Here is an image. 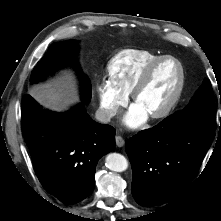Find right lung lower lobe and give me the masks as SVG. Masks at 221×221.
Segmentation results:
<instances>
[{"mask_svg": "<svg viewBox=\"0 0 221 221\" xmlns=\"http://www.w3.org/2000/svg\"><path fill=\"white\" fill-rule=\"evenodd\" d=\"M21 124L34 170L46 191L66 204L89 196L98 160L115 147V129L93 121L83 104L56 113L39 106L30 95L22 99Z\"/></svg>", "mask_w": 221, "mask_h": 221, "instance_id": "1", "label": "right lung lower lobe"}]
</instances>
